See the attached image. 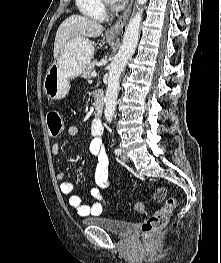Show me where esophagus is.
I'll list each match as a JSON object with an SVG mask.
<instances>
[{"label": "esophagus", "mask_w": 221, "mask_h": 263, "mask_svg": "<svg viewBox=\"0 0 221 263\" xmlns=\"http://www.w3.org/2000/svg\"><path fill=\"white\" fill-rule=\"evenodd\" d=\"M132 6H133V0H131L130 4L125 9L123 14L119 17V19L107 30V32H106L107 36H109L111 38H118L119 37V35L122 31V28H123L125 22L127 21L130 13H131Z\"/></svg>", "instance_id": "esophagus-1"}]
</instances>
